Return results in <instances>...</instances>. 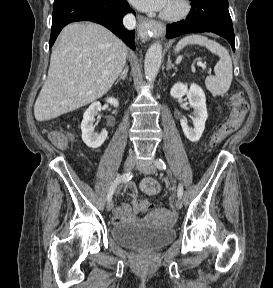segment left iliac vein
Wrapping results in <instances>:
<instances>
[{"label": "left iliac vein", "instance_id": "obj_1", "mask_svg": "<svg viewBox=\"0 0 273 288\" xmlns=\"http://www.w3.org/2000/svg\"><path fill=\"white\" fill-rule=\"evenodd\" d=\"M137 168L144 174H154L156 172V167L151 163H145V164H138ZM175 206L177 209H181L183 206L181 198H178L175 201Z\"/></svg>", "mask_w": 273, "mask_h": 288}]
</instances>
